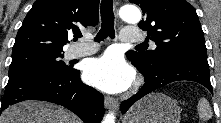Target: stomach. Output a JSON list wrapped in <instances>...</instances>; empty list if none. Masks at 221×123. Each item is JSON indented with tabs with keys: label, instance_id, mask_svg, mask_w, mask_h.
Wrapping results in <instances>:
<instances>
[{
	"label": "stomach",
	"instance_id": "1",
	"mask_svg": "<svg viewBox=\"0 0 221 123\" xmlns=\"http://www.w3.org/2000/svg\"><path fill=\"white\" fill-rule=\"evenodd\" d=\"M178 104L162 93H151L136 102L127 112L123 123H180Z\"/></svg>",
	"mask_w": 221,
	"mask_h": 123
}]
</instances>
